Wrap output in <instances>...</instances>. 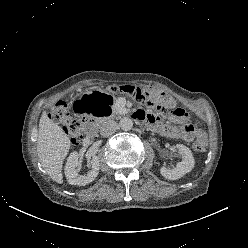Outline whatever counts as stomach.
<instances>
[{
	"label": "stomach",
	"mask_w": 248,
	"mask_h": 248,
	"mask_svg": "<svg viewBox=\"0 0 248 248\" xmlns=\"http://www.w3.org/2000/svg\"><path fill=\"white\" fill-rule=\"evenodd\" d=\"M115 108V100L103 90L88 91L73 105V110L77 116L86 118L93 115L100 120L109 118Z\"/></svg>",
	"instance_id": "obj_1"
}]
</instances>
